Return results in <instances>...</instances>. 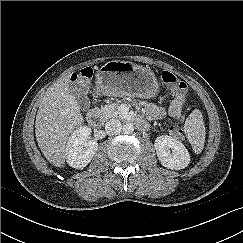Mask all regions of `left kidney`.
Returning a JSON list of instances; mask_svg holds the SVG:
<instances>
[{"label": "left kidney", "mask_w": 243, "mask_h": 243, "mask_svg": "<svg viewBox=\"0 0 243 243\" xmlns=\"http://www.w3.org/2000/svg\"><path fill=\"white\" fill-rule=\"evenodd\" d=\"M154 147L157 157L164 167L181 170L190 163V155L186 147L168 135L157 137Z\"/></svg>", "instance_id": "1"}]
</instances>
